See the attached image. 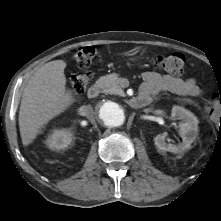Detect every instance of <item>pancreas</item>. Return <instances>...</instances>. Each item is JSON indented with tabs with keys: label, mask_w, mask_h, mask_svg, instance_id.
I'll list each match as a JSON object with an SVG mask.
<instances>
[{
	"label": "pancreas",
	"mask_w": 221,
	"mask_h": 221,
	"mask_svg": "<svg viewBox=\"0 0 221 221\" xmlns=\"http://www.w3.org/2000/svg\"><path fill=\"white\" fill-rule=\"evenodd\" d=\"M97 84L103 93L121 94L123 91L120 86V80L116 74L102 76L97 80Z\"/></svg>",
	"instance_id": "obj_1"
}]
</instances>
